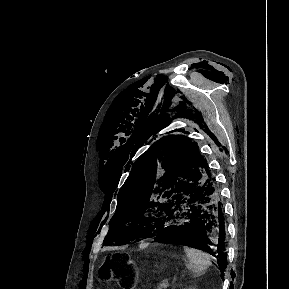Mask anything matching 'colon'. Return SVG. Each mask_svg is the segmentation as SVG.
I'll list each match as a JSON object with an SVG mask.
<instances>
[{
	"label": "colon",
	"mask_w": 289,
	"mask_h": 289,
	"mask_svg": "<svg viewBox=\"0 0 289 289\" xmlns=\"http://www.w3.org/2000/svg\"><path fill=\"white\" fill-rule=\"evenodd\" d=\"M101 281L112 282L122 289H132L136 283V271L119 256L109 255L98 271Z\"/></svg>",
	"instance_id": "colon-1"
}]
</instances>
